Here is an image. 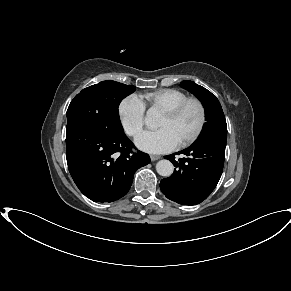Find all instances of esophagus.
Listing matches in <instances>:
<instances>
[{
  "mask_svg": "<svg viewBox=\"0 0 291 291\" xmlns=\"http://www.w3.org/2000/svg\"><path fill=\"white\" fill-rule=\"evenodd\" d=\"M150 158H151L152 161H156V160L160 159L161 156H159V155H150Z\"/></svg>",
  "mask_w": 291,
  "mask_h": 291,
  "instance_id": "esophagus-1",
  "label": "esophagus"
}]
</instances>
